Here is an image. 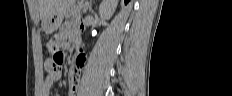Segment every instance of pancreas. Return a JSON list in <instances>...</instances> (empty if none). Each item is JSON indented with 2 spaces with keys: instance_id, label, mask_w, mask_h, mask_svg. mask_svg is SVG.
<instances>
[{
  "instance_id": "pancreas-1",
  "label": "pancreas",
  "mask_w": 232,
  "mask_h": 96,
  "mask_svg": "<svg viewBox=\"0 0 232 96\" xmlns=\"http://www.w3.org/2000/svg\"><path fill=\"white\" fill-rule=\"evenodd\" d=\"M84 6L79 3L78 5H73L68 11L65 12L66 18H75L82 14Z\"/></svg>"
}]
</instances>
